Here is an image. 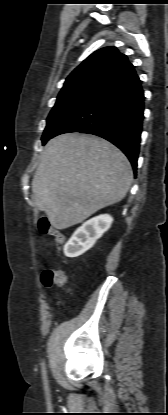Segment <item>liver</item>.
<instances>
[{
	"label": "liver",
	"instance_id": "6515ba94",
	"mask_svg": "<svg viewBox=\"0 0 168 415\" xmlns=\"http://www.w3.org/2000/svg\"><path fill=\"white\" fill-rule=\"evenodd\" d=\"M133 172L127 157L107 140L68 133L51 139L32 181L36 207L63 230L120 202Z\"/></svg>",
	"mask_w": 168,
	"mask_h": 415
}]
</instances>
